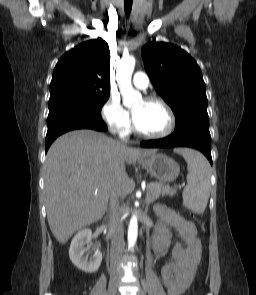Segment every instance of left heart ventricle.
<instances>
[{"mask_svg": "<svg viewBox=\"0 0 256 295\" xmlns=\"http://www.w3.org/2000/svg\"><path fill=\"white\" fill-rule=\"evenodd\" d=\"M131 110L136 115L135 124L142 132L153 134L166 129L168 116L160 105L141 100Z\"/></svg>", "mask_w": 256, "mask_h": 295, "instance_id": "b2bd125f", "label": "left heart ventricle"}]
</instances>
